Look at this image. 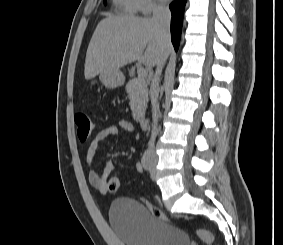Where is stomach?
Instances as JSON below:
<instances>
[{"label":"stomach","instance_id":"0dacf381","mask_svg":"<svg viewBox=\"0 0 283 245\" xmlns=\"http://www.w3.org/2000/svg\"><path fill=\"white\" fill-rule=\"evenodd\" d=\"M99 77L107 88H116L124 83V76L119 69H105L100 72Z\"/></svg>","mask_w":283,"mask_h":245}]
</instances>
